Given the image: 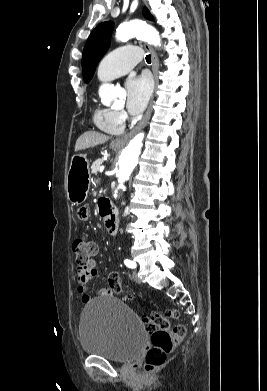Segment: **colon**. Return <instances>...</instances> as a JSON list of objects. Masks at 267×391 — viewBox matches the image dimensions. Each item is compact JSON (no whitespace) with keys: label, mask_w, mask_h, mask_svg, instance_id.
I'll return each mask as SVG.
<instances>
[{"label":"colon","mask_w":267,"mask_h":391,"mask_svg":"<svg viewBox=\"0 0 267 391\" xmlns=\"http://www.w3.org/2000/svg\"><path fill=\"white\" fill-rule=\"evenodd\" d=\"M75 254L77 270H88L94 263L98 245L93 240L76 239L72 245ZM109 289L114 293L121 291L119 277L116 272L108 276ZM169 318L178 319L179 312L176 309L167 310L165 314L151 312L143 317V321L151 333V347L145 356V369L151 371L162 365L168 356L174 351L185 335V327L176 325L170 328Z\"/></svg>","instance_id":"colon-1"}]
</instances>
